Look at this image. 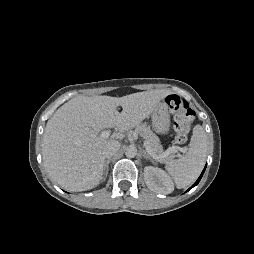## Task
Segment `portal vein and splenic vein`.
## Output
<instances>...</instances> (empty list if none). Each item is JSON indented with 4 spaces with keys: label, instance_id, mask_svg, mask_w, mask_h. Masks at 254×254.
<instances>
[{
    "label": "portal vein and splenic vein",
    "instance_id": "1",
    "mask_svg": "<svg viewBox=\"0 0 254 254\" xmlns=\"http://www.w3.org/2000/svg\"><path fill=\"white\" fill-rule=\"evenodd\" d=\"M110 134H111L110 130H105V131L101 132L100 136H101L102 138H108V137L110 136ZM177 149H178V148L172 147V148H170L167 152H165L164 155H162V156H156V155L153 154L151 148H150L149 146H146V151H147L153 158H155V159L165 157V156L168 155L169 153L176 152Z\"/></svg>",
    "mask_w": 254,
    "mask_h": 254
}]
</instances>
